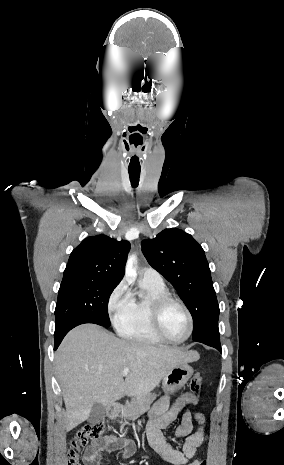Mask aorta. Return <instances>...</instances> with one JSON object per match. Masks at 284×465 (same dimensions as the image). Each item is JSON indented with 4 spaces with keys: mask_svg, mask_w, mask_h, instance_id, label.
<instances>
[{
    "mask_svg": "<svg viewBox=\"0 0 284 465\" xmlns=\"http://www.w3.org/2000/svg\"><path fill=\"white\" fill-rule=\"evenodd\" d=\"M136 255L132 254L128 257L127 263H126V268H125V275L134 277L136 276V270L134 268V264L136 262Z\"/></svg>",
    "mask_w": 284,
    "mask_h": 465,
    "instance_id": "aorta-1",
    "label": "aorta"
}]
</instances>
